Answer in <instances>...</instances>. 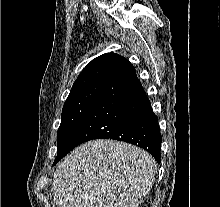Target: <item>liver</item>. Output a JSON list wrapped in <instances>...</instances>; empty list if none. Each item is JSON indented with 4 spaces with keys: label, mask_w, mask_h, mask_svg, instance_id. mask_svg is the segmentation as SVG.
Returning a JSON list of instances; mask_svg holds the SVG:
<instances>
[{
    "label": "liver",
    "mask_w": 220,
    "mask_h": 207,
    "mask_svg": "<svg viewBox=\"0 0 220 207\" xmlns=\"http://www.w3.org/2000/svg\"><path fill=\"white\" fill-rule=\"evenodd\" d=\"M157 163L120 141L93 140L75 148L53 174L57 207H139L152 188Z\"/></svg>",
    "instance_id": "obj_1"
}]
</instances>
